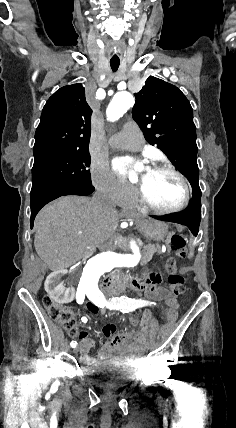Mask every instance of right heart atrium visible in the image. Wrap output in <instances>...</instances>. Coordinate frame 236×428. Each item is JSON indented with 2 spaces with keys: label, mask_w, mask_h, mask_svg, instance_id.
Wrapping results in <instances>:
<instances>
[{
  "label": "right heart atrium",
  "mask_w": 236,
  "mask_h": 428,
  "mask_svg": "<svg viewBox=\"0 0 236 428\" xmlns=\"http://www.w3.org/2000/svg\"><path fill=\"white\" fill-rule=\"evenodd\" d=\"M91 183L104 200L113 201V207L123 206L135 195L134 191L118 180L103 162L92 165Z\"/></svg>",
  "instance_id": "obj_1"
}]
</instances>
